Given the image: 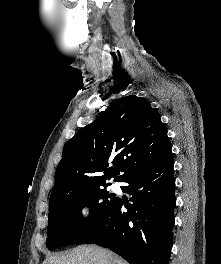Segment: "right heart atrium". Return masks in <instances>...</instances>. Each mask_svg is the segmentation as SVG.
Listing matches in <instances>:
<instances>
[{
    "label": "right heart atrium",
    "instance_id": "obj_1",
    "mask_svg": "<svg viewBox=\"0 0 221 264\" xmlns=\"http://www.w3.org/2000/svg\"><path fill=\"white\" fill-rule=\"evenodd\" d=\"M92 212L91 203L87 200L81 201L77 206V216L79 221H86L89 219Z\"/></svg>",
    "mask_w": 221,
    "mask_h": 264
}]
</instances>
